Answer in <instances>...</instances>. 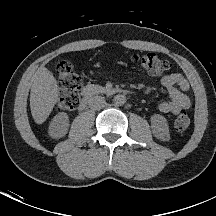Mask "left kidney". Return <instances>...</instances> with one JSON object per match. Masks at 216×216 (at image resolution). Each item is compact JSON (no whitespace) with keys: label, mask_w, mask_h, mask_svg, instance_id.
I'll return each mask as SVG.
<instances>
[{"label":"left kidney","mask_w":216,"mask_h":216,"mask_svg":"<svg viewBox=\"0 0 216 216\" xmlns=\"http://www.w3.org/2000/svg\"><path fill=\"white\" fill-rule=\"evenodd\" d=\"M151 128L154 136L162 141L170 139L169 126L164 116L154 114L151 116Z\"/></svg>","instance_id":"left-kidney-1"}]
</instances>
